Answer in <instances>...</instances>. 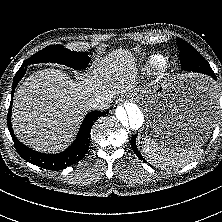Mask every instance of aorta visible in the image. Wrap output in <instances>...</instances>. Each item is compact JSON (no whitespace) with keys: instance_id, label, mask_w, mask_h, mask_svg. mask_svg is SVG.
<instances>
[{"instance_id":"obj_1","label":"aorta","mask_w":222,"mask_h":222,"mask_svg":"<svg viewBox=\"0 0 222 222\" xmlns=\"http://www.w3.org/2000/svg\"><path fill=\"white\" fill-rule=\"evenodd\" d=\"M115 116L124 129L138 130L144 122V114L141 108L132 102H126L123 106H118Z\"/></svg>"}]
</instances>
